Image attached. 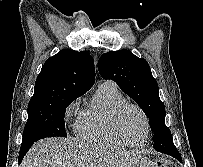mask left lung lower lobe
I'll return each mask as SVG.
<instances>
[{
	"label": "left lung lower lobe",
	"instance_id": "obj_1",
	"mask_svg": "<svg viewBox=\"0 0 203 167\" xmlns=\"http://www.w3.org/2000/svg\"><path fill=\"white\" fill-rule=\"evenodd\" d=\"M153 147L164 154H168L170 156L178 158V151L173 143V139H162L153 145Z\"/></svg>",
	"mask_w": 203,
	"mask_h": 167
}]
</instances>
